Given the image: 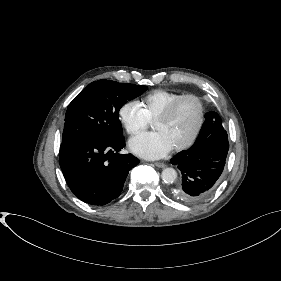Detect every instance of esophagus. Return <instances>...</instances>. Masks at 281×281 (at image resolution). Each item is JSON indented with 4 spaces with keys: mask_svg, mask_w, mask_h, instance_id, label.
<instances>
[{
    "mask_svg": "<svg viewBox=\"0 0 281 281\" xmlns=\"http://www.w3.org/2000/svg\"><path fill=\"white\" fill-rule=\"evenodd\" d=\"M154 165L158 168H164L166 165L162 162H155Z\"/></svg>",
    "mask_w": 281,
    "mask_h": 281,
    "instance_id": "esophagus-1",
    "label": "esophagus"
}]
</instances>
